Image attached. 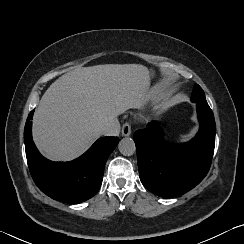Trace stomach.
I'll use <instances>...</instances> for the list:
<instances>
[{"mask_svg":"<svg viewBox=\"0 0 244 244\" xmlns=\"http://www.w3.org/2000/svg\"><path fill=\"white\" fill-rule=\"evenodd\" d=\"M155 76H156V71H155V69L154 68H150L149 70H148V73H147V83H150L152 80H154V78H155Z\"/></svg>","mask_w":244,"mask_h":244,"instance_id":"1","label":"stomach"}]
</instances>
